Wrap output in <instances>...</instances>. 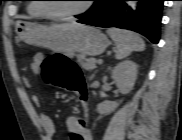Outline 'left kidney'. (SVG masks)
I'll list each match as a JSON object with an SVG mask.
<instances>
[{"mask_svg":"<svg viewBox=\"0 0 182 140\" xmlns=\"http://www.w3.org/2000/svg\"><path fill=\"white\" fill-rule=\"evenodd\" d=\"M138 74V66L135 62L125 60L118 63L111 70V77L115 81L121 94H128L135 84ZM119 106L117 101H104L97 105L100 114H109Z\"/></svg>","mask_w":182,"mask_h":140,"instance_id":"obj_1","label":"left kidney"}]
</instances>
